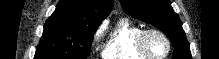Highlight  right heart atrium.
<instances>
[{"label": "right heart atrium", "instance_id": "1", "mask_svg": "<svg viewBox=\"0 0 219 59\" xmlns=\"http://www.w3.org/2000/svg\"><path fill=\"white\" fill-rule=\"evenodd\" d=\"M102 34V30H98L94 35V41H97Z\"/></svg>", "mask_w": 219, "mask_h": 59}]
</instances>
